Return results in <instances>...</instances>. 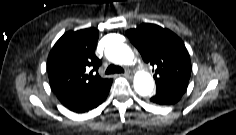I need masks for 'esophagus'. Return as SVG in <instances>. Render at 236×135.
<instances>
[{
    "mask_svg": "<svg viewBox=\"0 0 236 135\" xmlns=\"http://www.w3.org/2000/svg\"><path fill=\"white\" fill-rule=\"evenodd\" d=\"M123 75L126 77H132V73L130 71H126Z\"/></svg>",
    "mask_w": 236,
    "mask_h": 135,
    "instance_id": "34e87169",
    "label": "esophagus"
}]
</instances>
